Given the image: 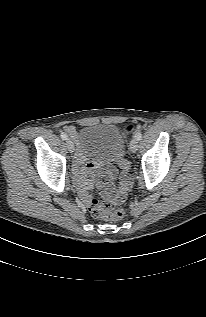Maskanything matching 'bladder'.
I'll return each instance as SVG.
<instances>
[{
	"instance_id": "bladder-1",
	"label": "bladder",
	"mask_w": 206,
	"mask_h": 317,
	"mask_svg": "<svg viewBox=\"0 0 206 317\" xmlns=\"http://www.w3.org/2000/svg\"><path fill=\"white\" fill-rule=\"evenodd\" d=\"M79 146L87 154L115 161L126 149V139L114 124H92L82 127L77 137Z\"/></svg>"
}]
</instances>
